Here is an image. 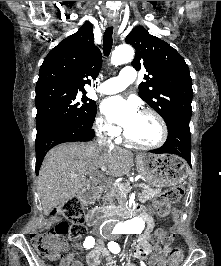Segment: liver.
Instances as JSON below:
<instances>
[{"label": "liver", "mask_w": 221, "mask_h": 266, "mask_svg": "<svg viewBox=\"0 0 221 266\" xmlns=\"http://www.w3.org/2000/svg\"><path fill=\"white\" fill-rule=\"evenodd\" d=\"M102 166L108 168L109 175L122 177L133 166V153L83 142L64 143L51 149L38 177L44 215L83 192L89 186L86 176L96 174Z\"/></svg>", "instance_id": "1"}]
</instances>
